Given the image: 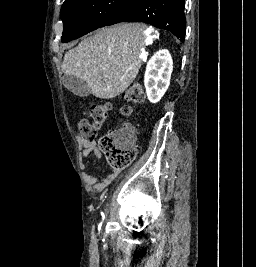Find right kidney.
<instances>
[{"mask_svg": "<svg viewBox=\"0 0 256 267\" xmlns=\"http://www.w3.org/2000/svg\"><path fill=\"white\" fill-rule=\"evenodd\" d=\"M173 60L168 50H159L150 58L144 76L146 94L151 104H157L163 98L171 80Z\"/></svg>", "mask_w": 256, "mask_h": 267, "instance_id": "ca27d5eb", "label": "right kidney"}]
</instances>
